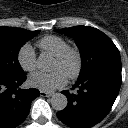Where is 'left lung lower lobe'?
<instances>
[{
  "instance_id": "0a47b994",
  "label": "left lung lower lobe",
  "mask_w": 128,
  "mask_h": 128,
  "mask_svg": "<svg viewBox=\"0 0 128 128\" xmlns=\"http://www.w3.org/2000/svg\"><path fill=\"white\" fill-rule=\"evenodd\" d=\"M121 86V66L102 65L79 78L72 88L77 94L62 91L67 107L57 117L71 128H90L101 122L111 110Z\"/></svg>"
}]
</instances>
